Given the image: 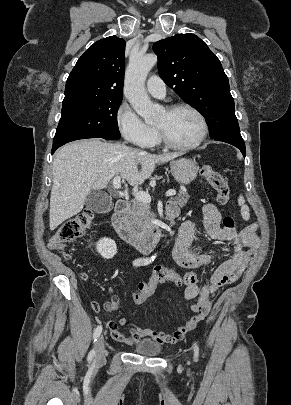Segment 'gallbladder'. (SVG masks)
I'll return each mask as SVG.
<instances>
[{
  "label": "gallbladder",
  "mask_w": 291,
  "mask_h": 405,
  "mask_svg": "<svg viewBox=\"0 0 291 405\" xmlns=\"http://www.w3.org/2000/svg\"><path fill=\"white\" fill-rule=\"evenodd\" d=\"M85 205L88 209L97 213L108 212L113 207L111 196L100 191H91L85 199Z\"/></svg>",
  "instance_id": "bac80fb5"
}]
</instances>
